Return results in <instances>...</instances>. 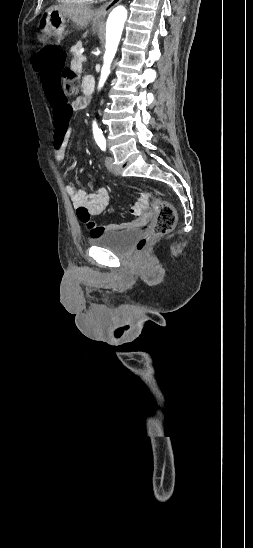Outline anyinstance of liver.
<instances>
[{
	"label": "liver",
	"instance_id": "6515ba94",
	"mask_svg": "<svg viewBox=\"0 0 253 548\" xmlns=\"http://www.w3.org/2000/svg\"><path fill=\"white\" fill-rule=\"evenodd\" d=\"M50 9L58 11L81 28H86L94 16V11L86 5H54Z\"/></svg>",
	"mask_w": 253,
	"mask_h": 548
}]
</instances>
